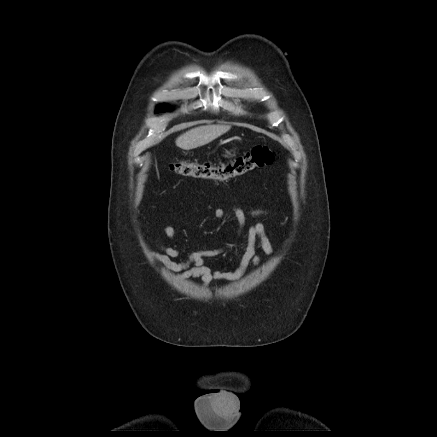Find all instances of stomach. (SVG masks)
Wrapping results in <instances>:
<instances>
[{
    "label": "stomach",
    "instance_id": "1",
    "mask_svg": "<svg viewBox=\"0 0 437 437\" xmlns=\"http://www.w3.org/2000/svg\"><path fill=\"white\" fill-rule=\"evenodd\" d=\"M226 157H233V156H235V151H229V152H226V155H225Z\"/></svg>",
    "mask_w": 437,
    "mask_h": 437
}]
</instances>
